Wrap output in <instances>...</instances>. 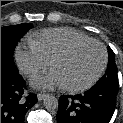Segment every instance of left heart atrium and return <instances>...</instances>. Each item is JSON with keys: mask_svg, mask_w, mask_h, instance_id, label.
<instances>
[{"mask_svg": "<svg viewBox=\"0 0 123 123\" xmlns=\"http://www.w3.org/2000/svg\"><path fill=\"white\" fill-rule=\"evenodd\" d=\"M32 85L39 89H51L57 86H63V82L59 74L51 69L50 71L43 73L32 80Z\"/></svg>", "mask_w": 123, "mask_h": 123, "instance_id": "obj_1", "label": "left heart atrium"}]
</instances>
